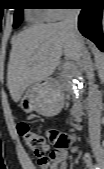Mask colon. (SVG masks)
Returning a JSON list of instances; mask_svg holds the SVG:
<instances>
[{
    "label": "colon",
    "instance_id": "obj_1",
    "mask_svg": "<svg viewBox=\"0 0 104 169\" xmlns=\"http://www.w3.org/2000/svg\"><path fill=\"white\" fill-rule=\"evenodd\" d=\"M18 132L23 138L26 147L36 157L41 165H45L49 161L47 151L50 145L56 147H67L73 141V137L66 133H62L56 129H49L44 133L39 132L27 123L18 125Z\"/></svg>",
    "mask_w": 104,
    "mask_h": 169
}]
</instances>
